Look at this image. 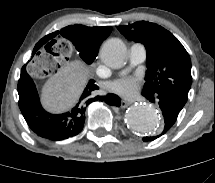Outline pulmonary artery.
<instances>
[{
    "label": "pulmonary artery",
    "mask_w": 215,
    "mask_h": 183,
    "mask_svg": "<svg viewBox=\"0 0 215 183\" xmlns=\"http://www.w3.org/2000/svg\"><path fill=\"white\" fill-rule=\"evenodd\" d=\"M146 48L141 43H133L129 49V62L130 66H136L146 59Z\"/></svg>",
    "instance_id": "pulmonary-artery-1"
}]
</instances>
